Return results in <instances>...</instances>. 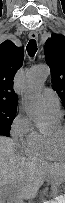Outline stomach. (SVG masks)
I'll return each mask as SVG.
<instances>
[{
	"mask_svg": "<svg viewBox=\"0 0 65 203\" xmlns=\"http://www.w3.org/2000/svg\"><path fill=\"white\" fill-rule=\"evenodd\" d=\"M50 182L55 190H58L59 192H63L64 185H65V174H64L62 180H60L59 177H54V178H52V180Z\"/></svg>",
	"mask_w": 65,
	"mask_h": 203,
	"instance_id": "1",
	"label": "stomach"
}]
</instances>
